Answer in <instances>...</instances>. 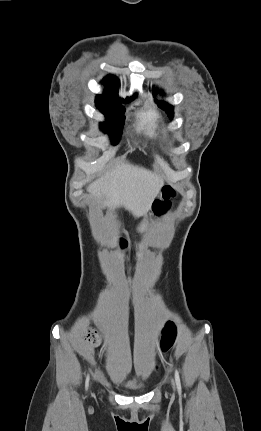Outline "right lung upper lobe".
<instances>
[{"instance_id": "right-lung-upper-lobe-1", "label": "right lung upper lobe", "mask_w": 261, "mask_h": 431, "mask_svg": "<svg viewBox=\"0 0 261 431\" xmlns=\"http://www.w3.org/2000/svg\"><path fill=\"white\" fill-rule=\"evenodd\" d=\"M103 83L105 84V91L104 94H108L111 96H114L120 100H124L118 97V88L120 85V82L117 77L113 75H108L103 79ZM137 96V94L133 95L132 97H127L124 101H131Z\"/></svg>"}]
</instances>
